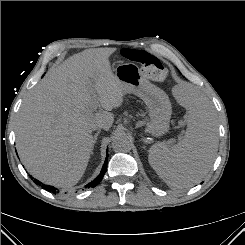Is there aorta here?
I'll use <instances>...</instances> for the list:
<instances>
[{
    "label": "aorta",
    "mask_w": 245,
    "mask_h": 245,
    "mask_svg": "<svg viewBox=\"0 0 245 245\" xmlns=\"http://www.w3.org/2000/svg\"><path fill=\"white\" fill-rule=\"evenodd\" d=\"M112 148L115 152H129L131 150V142L128 137L118 135L112 141Z\"/></svg>",
    "instance_id": "762f6f07"
}]
</instances>
